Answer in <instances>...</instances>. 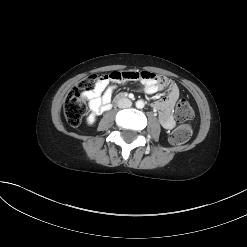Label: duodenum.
<instances>
[{"label":"duodenum","mask_w":247,"mask_h":247,"mask_svg":"<svg viewBox=\"0 0 247 247\" xmlns=\"http://www.w3.org/2000/svg\"><path fill=\"white\" fill-rule=\"evenodd\" d=\"M126 97V94H125V92L124 93H121V94H117V97H115L114 98V100H113V103H116L117 102V100H118V98L119 99H123V98H125ZM113 105V104H112ZM114 106V105H113ZM117 106V105H116ZM110 109V108H109ZM108 109V110H109Z\"/></svg>","instance_id":"obj_1"}]
</instances>
